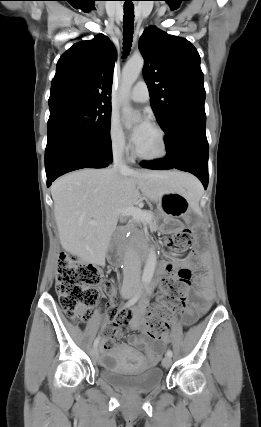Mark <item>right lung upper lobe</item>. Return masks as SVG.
Wrapping results in <instances>:
<instances>
[{
	"label": "right lung upper lobe",
	"mask_w": 261,
	"mask_h": 427,
	"mask_svg": "<svg viewBox=\"0 0 261 427\" xmlns=\"http://www.w3.org/2000/svg\"><path fill=\"white\" fill-rule=\"evenodd\" d=\"M116 52L109 38L74 44L58 60L49 108L67 104L111 106Z\"/></svg>",
	"instance_id": "right-lung-upper-lobe-1"
}]
</instances>
